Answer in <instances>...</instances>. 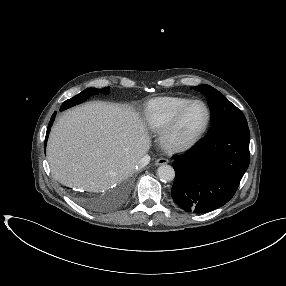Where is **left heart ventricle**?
I'll return each mask as SVG.
<instances>
[{"label": "left heart ventricle", "mask_w": 286, "mask_h": 286, "mask_svg": "<svg viewBox=\"0 0 286 286\" xmlns=\"http://www.w3.org/2000/svg\"><path fill=\"white\" fill-rule=\"evenodd\" d=\"M206 121V110L203 105L195 104L185 114L175 132V139L182 141L199 132Z\"/></svg>", "instance_id": "left-heart-ventricle-1"}]
</instances>
